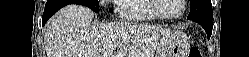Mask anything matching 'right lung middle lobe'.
Returning a JSON list of instances; mask_svg holds the SVG:
<instances>
[{
    "label": "right lung middle lobe",
    "mask_w": 249,
    "mask_h": 57,
    "mask_svg": "<svg viewBox=\"0 0 249 57\" xmlns=\"http://www.w3.org/2000/svg\"><path fill=\"white\" fill-rule=\"evenodd\" d=\"M48 2H71V3H78L80 5H84L89 7L95 12H99V2L98 0H48Z\"/></svg>",
    "instance_id": "obj_1"
}]
</instances>
